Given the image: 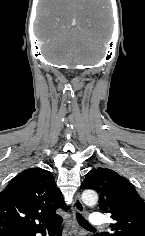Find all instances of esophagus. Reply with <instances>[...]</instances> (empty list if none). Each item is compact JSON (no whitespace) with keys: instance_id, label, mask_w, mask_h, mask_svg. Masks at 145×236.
I'll return each mask as SVG.
<instances>
[{"instance_id":"34e87169","label":"esophagus","mask_w":145,"mask_h":236,"mask_svg":"<svg viewBox=\"0 0 145 236\" xmlns=\"http://www.w3.org/2000/svg\"><path fill=\"white\" fill-rule=\"evenodd\" d=\"M73 218H72V233L75 234L77 232V224L75 220V215L77 213H84L85 212V207L84 204L81 201L80 195L77 193L74 201H73Z\"/></svg>"}]
</instances>
